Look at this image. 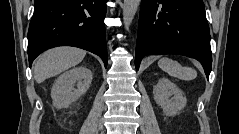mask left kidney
I'll use <instances>...</instances> for the list:
<instances>
[{"instance_id": "left-kidney-1", "label": "left kidney", "mask_w": 239, "mask_h": 134, "mask_svg": "<svg viewBox=\"0 0 239 134\" xmlns=\"http://www.w3.org/2000/svg\"><path fill=\"white\" fill-rule=\"evenodd\" d=\"M154 100L166 116L178 114L187 104L183 92L167 78H160L153 89Z\"/></svg>"}]
</instances>
